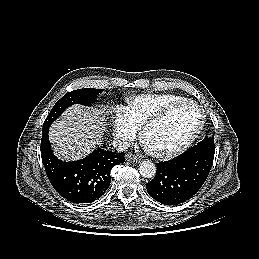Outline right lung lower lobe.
I'll return each mask as SVG.
<instances>
[{
    "instance_id": "1",
    "label": "right lung lower lobe",
    "mask_w": 259,
    "mask_h": 259,
    "mask_svg": "<svg viewBox=\"0 0 259 259\" xmlns=\"http://www.w3.org/2000/svg\"><path fill=\"white\" fill-rule=\"evenodd\" d=\"M48 131L49 127L42 129L40 150L52 186L74 203H91L99 199L109 188L112 167L123 163L125 154L98 148L81 160L64 162L54 156Z\"/></svg>"
}]
</instances>
